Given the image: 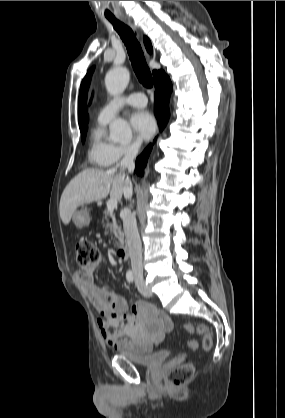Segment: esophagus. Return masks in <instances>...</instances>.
Masks as SVG:
<instances>
[{"label":"esophagus","mask_w":285,"mask_h":418,"mask_svg":"<svg viewBox=\"0 0 285 418\" xmlns=\"http://www.w3.org/2000/svg\"><path fill=\"white\" fill-rule=\"evenodd\" d=\"M128 24L134 29V30H136V26L133 24V23H131L130 21H128ZM146 55H147V57H149V55L146 53Z\"/></svg>","instance_id":"1"}]
</instances>
